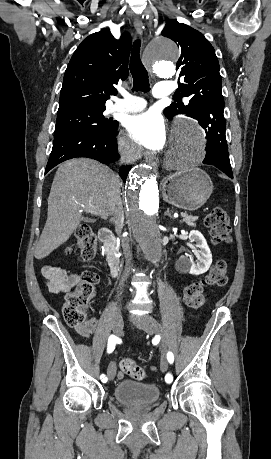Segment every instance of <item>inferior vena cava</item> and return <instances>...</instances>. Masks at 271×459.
<instances>
[{
    "label": "inferior vena cava",
    "mask_w": 271,
    "mask_h": 459,
    "mask_svg": "<svg viewBox=\"0 0 271 459\" xmlns=\"http://www.w3.org/2000/svg\"><path fill=\"white\" fill-rule=\"evenodd\" d=\"M120 164H126V160H120ZM115 180L116 184H112V192H110L108 212L111 216H113V218H111L112 222H114V224H118V226H122L124 222V212L122 210V202L120 200V184L118 176H116Z\"/></svg>",
    "instance_id": "inferior-vena-cava-1"
}]
</instances>
